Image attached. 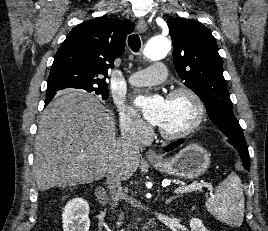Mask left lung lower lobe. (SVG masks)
<instances>
[{
	"instance_id": "0a47b994",
	"label": "left lung lower lobe",
	"mask_w": 268,
	"mask_h": 231,
	"mask_svg": "<svg viewBox=\"0 0 268 231\" xmlns=\"http://www.w3.org/2000/svg\"><path fill=\"white\" fill-rule=\"evenodd\" d=\"M181 141H182V139L177 140V141L169 144L168 146H166L164 148V151L168 152V151L175 149L176 147H178L182 143ZM237 151L241 155L243 167L246 168L248 171H250V160H249V155H248L247 149L237 148Z\"/></svg>"
}]
</instances>
